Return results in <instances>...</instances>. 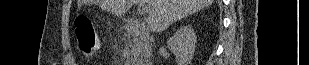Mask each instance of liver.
Listing matches in <instances>:
<instances>
[{"label":"liver","instance_id":"liver-1","mask_svg":"<svg viewBox=\"0 0 309 65\" xmlns=\"http://www.w3.org/2000/svg\"><path fill=\"white\" fill-rule=\"evenodd\" d=\"M144 0H97L102 10L122 17L137 2ZM150 7L148 26L154 32L167 29L172 23L208 7L213 0H146Z\"/></svg>","mask_w":309,"mask_h":65}]
</instances>
